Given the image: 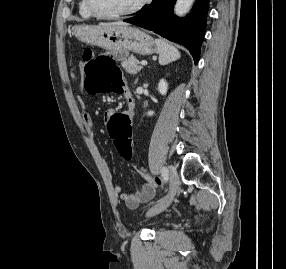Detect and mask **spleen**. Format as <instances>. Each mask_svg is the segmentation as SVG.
<instances>
[{"label":"spleen","mask_w":286,"mask_h":269,"mask_svg":"<svg viewBox=\"0 0 286 269\" xmlns=\"http://www.w3.org/2000/svg\"><path fill=\"white\" fill-rule=\"evenodd\" d=\"M155 43L159 54V63L161 65H167L180 58V52L170 43L163 39H156Z\"/></svg>","instance_id":"3e777b00"}]
</instances>
